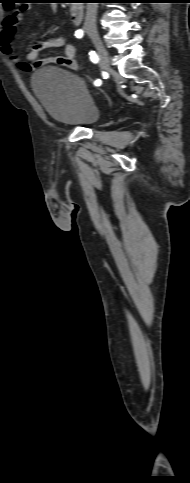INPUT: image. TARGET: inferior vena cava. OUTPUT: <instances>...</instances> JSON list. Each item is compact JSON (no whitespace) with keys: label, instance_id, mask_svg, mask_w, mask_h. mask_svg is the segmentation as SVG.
Wrapping results in <instances>:
<instances>
[{"label":"inferior vena cava","instance_id":"obj_1","mask_svg":"<svg viewBox=\"0 0 190 483\" xmlns=\"http://www.w3.org/2000/svg\"><path fill=\"white\" fill-rule=\"evenodd\" d=\"M97 3H87L84 28H96Z\"/></svg>","mask_w":190,"mask_h":483}]
</instances>
